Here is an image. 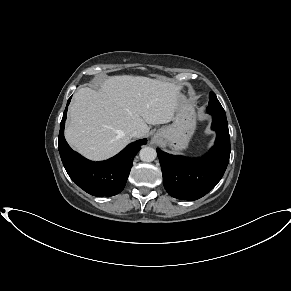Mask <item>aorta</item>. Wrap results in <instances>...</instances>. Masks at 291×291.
Segmentation results:
<instances>
[{
    "mask_svg": "<svg viewBox=\"0 0 291 291\" xmlns=\"http://www.w3.org/2000/svg\"><path fill=\"white\" fill-rule=\"evenodd\" d=\"M139 156L143 162H152L155 160L157 153L152 147H144L140 150Z\"/></svg>",
    "mask_w": 291,
    "mask_h": 291,
    "instance_id": "aorta-1",
    "label": "aorta"
}]
</instances>
